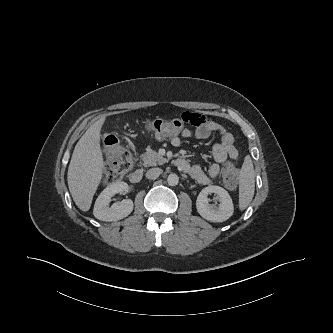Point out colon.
<instances>
[{
    "instance_id": "colon-1",
    "label": "colon",
    "mask_w": 333,
    "mask_h": 333,
    "mask_svg": "<svg viewBox=\"0 0 333 333\" xmlns=\"http://www.w3.org/2000/svg\"><path fill=\"white\" fill-rule=\"evenodd\" d=\"M194 114V113H193ZM198 115V114H196ZM200 116V115H199ZM184 124L197 126L200 121L191 123L185 119H155L146 123L149 133L157 138L176 137L183 130ZM103 147L108 163L105 169L107 182L119 181L132 167V157L128 148L113 134L103 138ZM223 179L227 187L233 188L238 183V169L233 162H227L223 168Z\"/></svg>"
}]
</instances>
